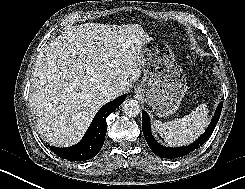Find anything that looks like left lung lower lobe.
<instances>
[{
	"label": "left lung lower lobe",
	"mask_w": 245,
	"mask_h": 189,
	"mask_svg": "<svg viewBox=\"0 0 245 189\" xmlns=\"http://www.w3.org/2000/svg\"><path fill=\"white\" fill-rule=\"evenodd\" d=\"M222 105H223V101L219 103L211 123L209 124L208 128L206 129V131L201 137H199L195 142L191 143L189 146L177 147V148L164 147L155 140V138L151 133L149 116L145 111H142V130L148 146L150 147V149L153 151L155 155L162 158L182 157L184 155H187L191 151L200 148V146L203 145L204 142L208 140V138L214 131V128L221 114Z\"/></svg>",
	"instance_id": "0a47b994"
}]
</instances>
